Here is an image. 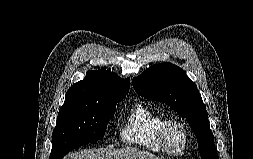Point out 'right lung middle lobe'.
I'll return each instance as SVG.
<instances>
[{
    "mask_svg": "<svg viewBox=\"0 0 253 159\" xmlns=\"http://www.w3.org/2000/svg\"><path fill=\"white\" fill-rule=\"evenodd\" d=\"M122 99H76L65 101L52 134L49 159H61L72 149L103 138L115 105Z\"/></svg>",
    "mask_w": 253,
    "mask_h": 159,
    "instance_id": "right-lung-middle-lobe-1",
    "label": "right lung middle lobe"
}]
</instances>
